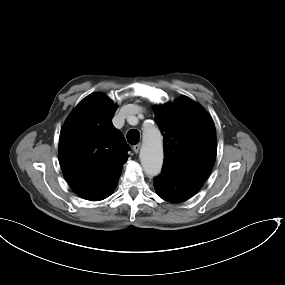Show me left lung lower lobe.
Segmentation results:
<instances>
[{"label": "left lung lower lobe", "mask_w": 285, "mask_h": 285, "mask_svg": "<svg viewBox=\"0 0 285 285\" xmlns=\"http://www.w3.org/2000/svg\"><path fill=\"white\" fill-rule=\"evenodd\" d=\"M203 184L180 177L173 173L162 171L154 178V187L157 194L164 200L172 203H180L195 195Z\"/></svg>", "instance_id": "left-lung-lower-lobe-1"}]
</instances>
